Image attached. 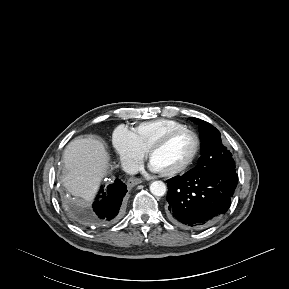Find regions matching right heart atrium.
<instances>
[{
	"label": "right heart atrium",
	"instance_id": "right-heart-atrium-1",
	"mask_svg": "<svg viewBox=\"0 0 289 289\" xmlns=\"http://www.w3.org/2000/svg\"><path fill=\"white\" fill-rule=\"evenodd\" d=\"M113 145L122 164L128 169L136 167L144 156V152L136 144L132 132L126 129L115 132Z\"/></svg>",
	"mask_w": 289,
	"mask_h": 289
}]
</instances>
